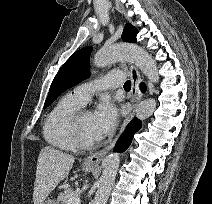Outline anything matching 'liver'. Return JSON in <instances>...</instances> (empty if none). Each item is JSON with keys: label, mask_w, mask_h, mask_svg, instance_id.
Here are the masks:
<instances>
[{"label": "liver", "mask_w": 212, "mask_h": 204, "mask_svg": "<svg viewBox=\"0 0 212 204\" xmlns=\"http://www.w3.org/2000/svg\"><path fill=\"white\" fill-rule=\"evenodd\" d=\"M75 158L51 146L41 149L33 189L34 204H43L55 187L64 180L71 170Z\"/></svg>", "instance_id": "1"}]
</instances>
